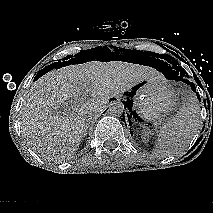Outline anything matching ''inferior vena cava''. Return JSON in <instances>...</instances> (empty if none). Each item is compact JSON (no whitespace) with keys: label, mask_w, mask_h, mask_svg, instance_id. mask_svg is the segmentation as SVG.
<instances>
[{"label":"inferior vena cava","mask_w":213,"mask_h":213,"mask_svg":"<svg viewBox=\"0 0 213 213\" xmlns=\"http://www.w3.org/2000/svg\"><path fill=\"white\" fill-rule=\"evenodd\" d=\"M95 113H96V112H95ZM86 117H87V119H88V120L92 119V117H93V113H89V114H87V116H86Z\"/></svg>","instance_id":"obj_1"}]
</instances>
